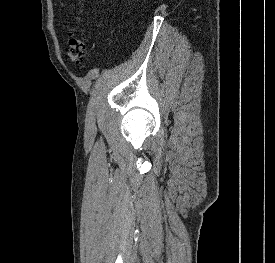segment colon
<instances>
[{"label":"colon","mask_w":275,"mask_h":263,"mask_svg":"<svg viewBox=\"0 0 275 263\" xmlns=\"http://www.w3.org/2000/svg\"><path fill=\"white\" fill-rule=\"evenodd\" d=\"M85 52V42L81 37H79V35L74 30H72L69 33V40L66 50L68 60L72 64L82 68L84 67Z\"/></svg>","instance_id":"1"}]
</instances>
